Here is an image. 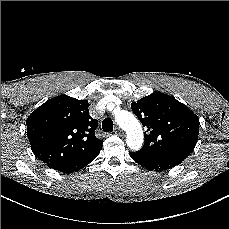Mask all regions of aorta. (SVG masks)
<instances>
[{
	"mask_svg": "<svg viewBox=\"0 0 229 229\" xmlns=\"http://www.w3.org/2000/svg\"><path fill=\"white\" fill-rule=\"evenodd\" d=\"M115 121L127 132V146L133 151L139 150L143 144V131L134 115L128 111L121 110L115 114Z\"/></svg>",
	"mask_w": 229,
	"mask_h": 229,
	"instance_id": "aorta-1",
	"label": "aorta"
}]
</instances>
